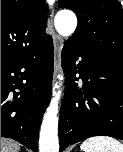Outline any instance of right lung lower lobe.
I'll use <instances>...</instances> for the list:
<instances>
[{
  "mask_svg": "<svg viewBox=\"0 0 123 152\" xmlns=\"http://www.w3.org/2000/svg\"><path fill=\"white\" fill-rule=\"evenodd\" d=\"M52 76L51 36L21 59L1 61V137L12 138L37 152L39 128L51 96Z\"/></svg>",
  "mask_w": 123,
  "mask_h": 152,
  "instance_id": "right-lung-lower-lobe-1",
  "label": "right lung lower lobe"
}]
</instances>
